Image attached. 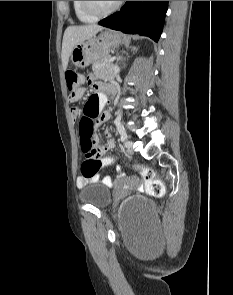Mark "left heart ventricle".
Here are the masks:
<instances>
[{"label": "left heart ventricle", "instance_id": "1", "mask_svg": "<svg viewBox=\"0 0 233 295\" xmlns=\"http://www.w3.org/2000/svg\"><path fill=\"white\" fill-rule=\"evenodd\" d=\"M95 8L99 11H105L111 8L117 1H92Z\"/></svg>", "mask_w": 233, "mask_h": 295}]
</instances>
